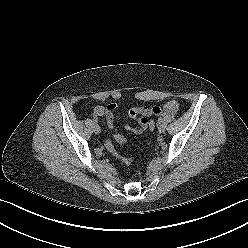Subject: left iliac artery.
I'll return each mask as SVG.
<instances>
[{"label":"left iliac artery","mask_w":248,"mask_h":248,"mask_svg":"<svg viewBox=\"0 0 248 248\" xmlns=\"http://www.w3.org/2000/svg\"><path fill=\"white\" fill-rule=\"evenodd\" d=\"M162 120L163 119L161 117L158 119L159 124L162 122Z\"/></svg>","instance_id":"left-iliac-artery-1"}]
</instances>
